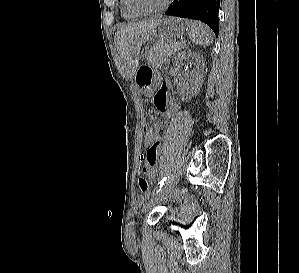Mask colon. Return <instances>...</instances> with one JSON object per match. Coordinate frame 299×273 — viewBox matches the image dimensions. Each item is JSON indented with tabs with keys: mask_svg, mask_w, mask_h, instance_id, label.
<instances>
[{
	"mask_svg": "<svg viewBox=\"0 0 299 273\" xmlns=\"http://www.w3.org/2000/svg\"><path fill=\"white\" fill-rule=\"evenodd\" d=\"M161 128L162 123L159 121H155L148 125L144 138L145 144H151L157 141L159 139ZM138 183L139 189L142 193L146 194L149 192V185L145 178L141 177ZM168 198L176 202L189 204L191 206L195 203V199L184 190L172 191L168 195Z\"/></svg>",
	"mask_w": 299,
	"mask_h": 273,
	"instance_id": "5ec220e1",
	"label": "colon"
}]
</instances>
